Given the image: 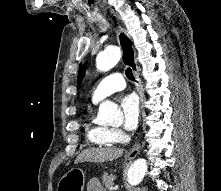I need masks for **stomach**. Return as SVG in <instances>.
I'll use <instances>...</instances> for the list:
<instances>
[{
	"instance_id": "obj_1",
	"label": "stomach",
	"mask_w": 221,
	"mask_h": 191,
	"mask_svg": "<svg viewBox=\"0 0 221 191\" xmlns=\"http://www.w3.org/2000/svg\"><path fill=\"white\" fill-rule=\"evenodd\" d=\"M85 172L80 168H71L58 182L57 191H83Z\"/></svg>"
}]
</instances>
